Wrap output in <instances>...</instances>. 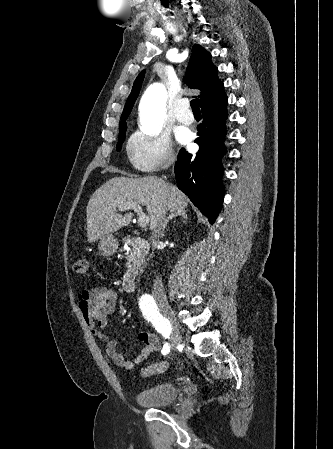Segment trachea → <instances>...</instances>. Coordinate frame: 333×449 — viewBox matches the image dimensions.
<instances>
[{
    "instance_id": "3493384b",
    "label": "trachea",
    "mask_w": 333,
    "mask_h": 449,
    "mask_svg": "<svg viewBox=\"0 0 333 449\" xmlns=\"http://www.w3.org/2000/svg\"><path fill=\"white\" fill-rule=\"evenodd\" d=\"M190 105H191L192 111H193L194 113H195V112H200L199 101H198V99H193V100L190 102Z\"/></svg>"
}]
</instances>
